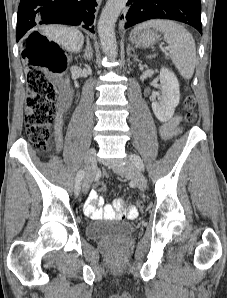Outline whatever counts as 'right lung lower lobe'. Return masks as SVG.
<instances>
[{
  "label": "right lung lower lobe",
  "instance_id": "1",
  "mask_svg": "<svg viewBox=\"0 0 227 298\" xmlns=\"http://www.w3.org/2000/svg\"><path fill=\"white\" fill-rule=\"evenodd\" d=\"M96 0H21L16 41L39 24L80 25L93 32Z\"/></svg>",
  "mask_w": 227,
  "mask_h": 298
}]
</instances>
